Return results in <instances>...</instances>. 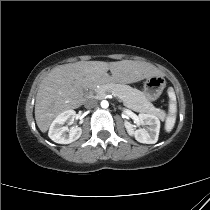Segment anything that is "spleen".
I'll list each match as a JSON object with an SVG mask.
<instances>
[{
  "label": "spleen",
  "mask_w": 210,
  "mask_h": 210,
  "mask_svg": "<svg viewBox=\"0 0 210 210\" xmlns=\"http://www.w3.org/2000/svg\"><path fill=\"white\" fill-rule=\"evenodd\" d=\"M168 96L170 102H169V114L165 121L166 132H170L173 129L176 121V112H177L176 95L173 89H169Z\"/></svg>",
  "instance_id": "1"
}]
</instances>
